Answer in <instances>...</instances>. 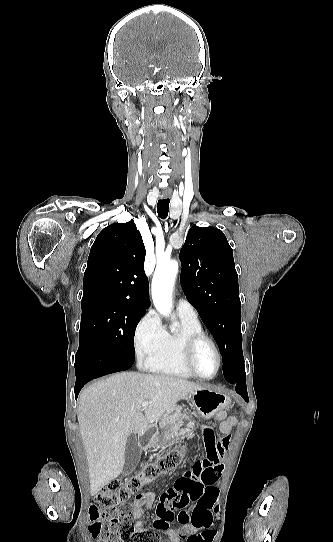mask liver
I'll use <instances>...</instances> for the list:
<instances>
[{
  "label": "liver",
  "instance_id": "1",
  "mask_svg": "<svg viewBox=\"0 0 333 542\" xmlns=\"http://www.w3.org/2000/svg\"><path fill=\"white\" fill-rule=\"evenodd\" d=\"M194 390L203 388L185 378L139 372L113 374L83 390L77 418L88 462L91 496L120 476L129 436H144L166 410ZM143 402H149L144 408L145 416Z\"/></svg>",
  "mask_w": 333,
  "mask_h": 542
}]
</instances>
